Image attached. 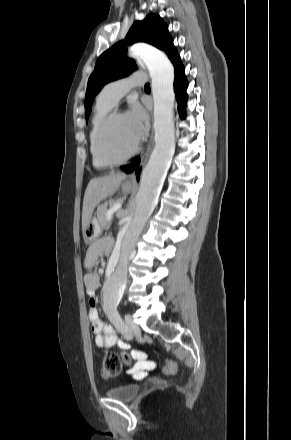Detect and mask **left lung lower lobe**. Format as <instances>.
I'll return each mask as SVG.
<instances>
[{
	"label": "left lung lower lobe",
	"mask_w": 291,
	"mask_h": 440,
	"mask_svg": "<svg viewBox=\"0 0 291 440\" xmlns=\"http://www.w3.org/2000/svg\"><path fill=\"white\" fill-rule=\"evenodd\" d=\"M175 69V80H174V90L176 94V99L179 106V113L182 117L185 115V103L187 101V94L186 89L188 87L187 79L184 75V67L181 63L180 56H177L172 61ZM140 158L137 157L135 161L129 165L121 166L120 168L125 173H131L133 171H136L137 173L140 172L139 164H140Z\"/></svg>",
	"instance_id": "0a47b994"
}]
</instances>
